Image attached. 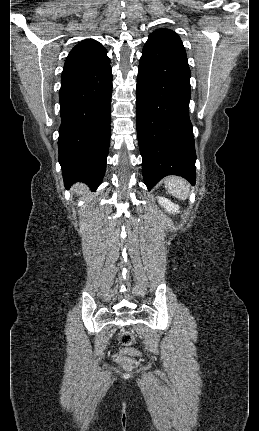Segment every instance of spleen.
Listing matches in <instances>:
<instances>
[{
  "label": "spleen",
  "instance_id": "obj_1",
  "mask_svg": "<svg viewBox=\"0 0 259 431\" xmlns=\"http://www.w3.org/2000/svg\"><path fill=\"white\" fill-rule=\"evenodd\" d=\"M167 191L178 199L186 200L189 195L187 182L181 177L170 176L164 179Z\"/></svg>",
  "mask_w": 259,
  "mask_h": 431
}]
</instances>
